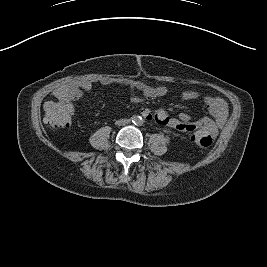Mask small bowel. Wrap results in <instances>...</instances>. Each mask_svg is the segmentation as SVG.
Listing matches in <instances>:
<instances>
[{"label":"small bowel","mask_w":267,"mask_h":267,"mask_svg":"<svg viewBox=\"0 0 267 267\" xmlns=\"http://www.w3.org/2000/svg\"><path fill=\"white\" fill-rule=\"evenodd\" d=\"M90 89L91 85L84 83L79 89L74 90L70 94L62 95L60 98L67 103L89 92ZM166 93L167 89L164 86L152 87L138 83L132 87L131 98L133 102H141L143 99L162 97ZM199 96L198 92L187 90L180 95V99L183 101H191L197 99ZM203 102L211 117H202L196 121H193L191 116L185 112L180 113L178 117L169 116L167 111L162 108L157 110L145 108L142 110L141 114L145 119L154 121L160 125L182 131L205 132L215 137L225 122L228 112L227 105L223 99L213 96H204Z\"/></svg>","instance_id":"1"}]
</instances>
